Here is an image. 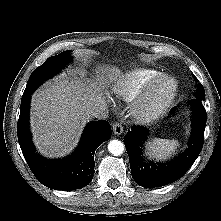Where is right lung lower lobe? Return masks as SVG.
Returning <instances> with one entry per match:
<instances>
[{
    "label": "right lung lower lobe",
    "instance_id": "1",
    "mask_svg": "<svg viewBox=\"0 0 221 221\" xmlns=\"http://www.w3.org/2000/svg\"><path fill=\"white\" fill-rule=\"evenodd\" d=\"M30 95L22 97L17 133L22 153L31 171L43 185L51 189L70 191L88 185L95 172V150L111 136L109 122L99 120L89 123L78 148L70 157L62 160L43 158L35 152L29 133Z\"/></svg>",
    "mask_w": 221,
    "mask_h": 221
}]
</instances>
